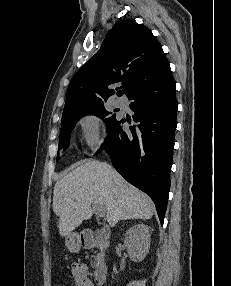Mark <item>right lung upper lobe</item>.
I'll return each mask as SVG.
<instances>
[{"mask_svg": "<svg viewBox=\"0 0 231 286\" xmlns=\"http://www.w3.org/2000/svg\"><path fill=\"white\" fill-rule=\"evenodd\" d=\"M171 72L152 32L134 19L121 20L106 35L100 50L73 76L63 115L103 103L115 92L108 86L121 81L123 90L136 82ZM102 99H101V98Z\"/></svg>", "mask_w": 231, "mask_h": 286, "instance_id": "obj_1", "label": "right lung upper lobe"}]
</instances>
